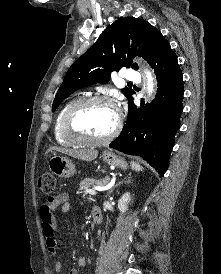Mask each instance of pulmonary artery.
<instances>
[{"label":"pulmonary artery","mask_w":221,"mask_h":274,"mask_svg":"<svg viewBox=\"0 0 221 274\" xmlns=\"http://www.w3.org/2000/svg\"><path fill=\"white\" fill-rule=\"evenodd\" d=\"M122 77L128 81H138L140 79L139 73L133 69L124 70Z\"/></svg>","instance_id":"obj_1"}]
</instances>
